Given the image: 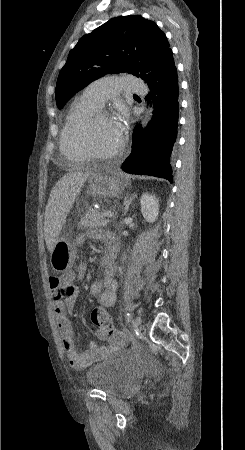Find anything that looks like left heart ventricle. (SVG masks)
Instances as JSON below:
<instances>
[{"mask_svg": "<svg viewBox=\"0 0 245 450\" xmlns=\"http://www.w3.org/2000/svg\"><path fill=\"white\" fill-rule=\"evenodd\" d=\"M93 140L98 151L110 153L118 149L121 140L118 138L113 121L111 119L99 118L93 129Z\"/></svg>", "mask_w": 245, "mask_h": 450, "instance_id": "left-heart-ventricle-1", "label": "left heart ventricle"}]
</instances>
